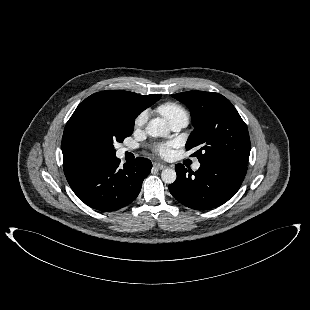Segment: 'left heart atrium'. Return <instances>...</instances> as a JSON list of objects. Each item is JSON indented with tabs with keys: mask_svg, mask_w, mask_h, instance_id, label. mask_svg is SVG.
<instances>
[{
	"mask_svg": "<svg viewBox=\"0 0 310 310\" xmlns=\"http://www.w3.org/2000/svg\"><path fill=\"white\" fill-rule=\"evenodd\" d=\"M172 146H173L172 143L158 144L155 147V151L158 155L162 157H168L171 154Z\"/></svg>",
	"mask_w": 310,
	"mask_h": 310,
	"instance_id": "obj_1",
	"label": "left heart atrium"
}]
</instances>
